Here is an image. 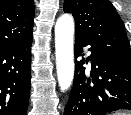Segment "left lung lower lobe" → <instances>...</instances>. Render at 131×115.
<instances>
[{
    "label": "left lung lower lobe",
    "instance_id": "1",
    "mask_svg": "<svg viewBox=\"0 0 131 115\" xmlns=\"http://www.w3.org/2000/svg\"><path fill=\"white\" fill-rule=\"evenodd\" d=\"M91 45L90 76L83 62L75 65L74 83L64 115H103L119 109L131 110V69L107 58L86 38L75 35L74 55L81 56L82 47Z\"/></svg>",
    "mask_w": 131,
    "mask_h": 115
}]
</instances>
